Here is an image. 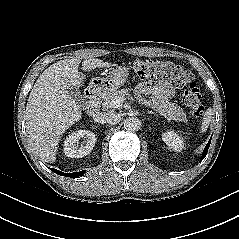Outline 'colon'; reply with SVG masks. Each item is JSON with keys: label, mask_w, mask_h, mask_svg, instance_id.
Wrapping results in <instances>:
<instances>
[{"label": "colon", "mask_w": 239, "mask_h": 239, "mask_svg": "<svg viewBox=\"0 0 239 239\" xmlns=\"http://www.w3.org/2000/svg\"><path fill=\"white\" fill-rule=\"evenodd\" d=\"M140 79H168L183 90L182 100L192 115L199 117L204 113L202 95L192 73L184 66L172 61L139 60L133 66Z\"/></svg>", "instance_id": "colon-1"}]
</instances>
